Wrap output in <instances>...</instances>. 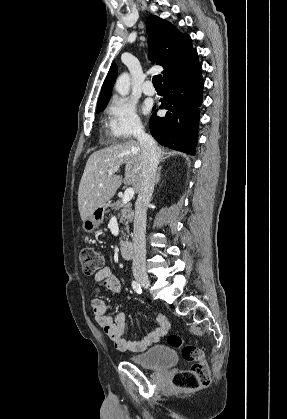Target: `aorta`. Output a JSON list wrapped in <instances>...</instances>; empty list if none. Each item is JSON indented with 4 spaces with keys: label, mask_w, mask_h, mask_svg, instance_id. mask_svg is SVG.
Segmentation results:
<instances>
[{
    "label": "aorta",
    "mask_w": 287,
    "mask_h": 419,
    "mask_svg": "<svg viewBox=\"0 0 287 419\" xmlns=\"http://www.w3.org/2000/svg\"><path fill=\"white\" fill-rule=\"evenodd\" d=\"M115 89L121 96H126L130 91V75L122 73L116 80Z\"/></svg>",
    "instance_id": "obj_1"
}]
</instances>
